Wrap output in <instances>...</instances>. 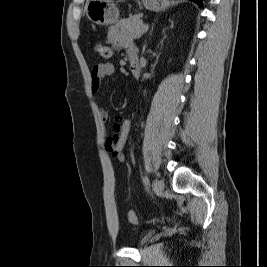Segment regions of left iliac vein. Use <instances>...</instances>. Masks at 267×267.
Returning <instances> with one entry per match:
<instances>
[{
    "label": "left iliac vein",
    "instance_id": "obj_1",
    "mask_svg": "<svg viewBox=\"0 0 267 267\" xmlns=\"http://www.w3.org/2000/svg\"><path fill=\"white\" fill-rule=\"evenodd\" d=\"M165 184L163 180H155L154 182V189L157 193H161L164 190Z\"/></svg>",
    "mask_w": 267,
    "mask_h": 267
}]
</instances>
